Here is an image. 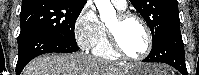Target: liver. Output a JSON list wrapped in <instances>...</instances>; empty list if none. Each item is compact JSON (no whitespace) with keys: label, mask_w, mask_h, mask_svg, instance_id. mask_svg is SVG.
I'll return each instance as SVG.
<instances>
[{"label":"liver","mask_w":199,"mask_h":75,"mask_svg":"<svg viewBox=\"0 0 199 75\" xmlns=\"http://www.w3.org/2000/svg\"><path fill=\"white\" fill-rule=\"evenodd\" d=\"M131 67L84 53L45 54L33 59L22 75H127Z\"/></svg>","instance_id":"6515ba94"}]
</instances>
